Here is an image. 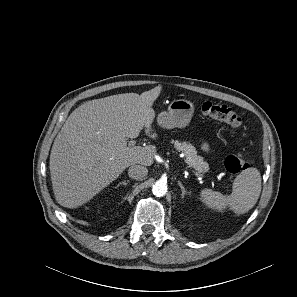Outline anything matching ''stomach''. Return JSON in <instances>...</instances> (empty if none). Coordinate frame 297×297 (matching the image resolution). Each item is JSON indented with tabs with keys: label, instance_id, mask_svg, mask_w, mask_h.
<instances>
[{
	"label": "stomach",
	"instance_id": "obj_1",
	"mask_svg": "<svg viewBox=\"0 0 297 297\" xmlns=\"http://www.w3.org/2000/svg\"><path fill=\"white\" fill-rule=\"evenodd\" d=\"M194 109V104L189 100H174L169 104L167 112L158 115L157 122L164 129L184 128L190 123Z\"/></svg>",
	"mask_w": 297,
	"mask_h": 297
}]
</instances>
